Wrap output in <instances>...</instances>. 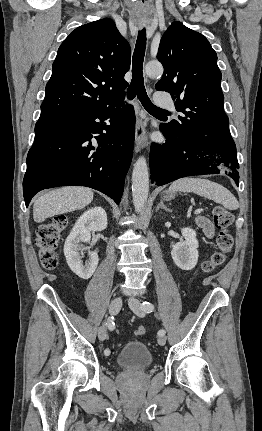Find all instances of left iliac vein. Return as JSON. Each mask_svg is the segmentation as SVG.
Here are the masks:
<instances>
[{"label":"left iliac vein","instance_id":"4c4485c4","mask_svg":"<svg viewBox=\"0 0 262 431\" xmlns=\"http://www.w3.org/2000/svg\"><path fill=\"white\" fill-rule=\"evenodd\" d=\"M129 307L131 310L139 317H143L145 315V312L141 306V303L138 299L134 297H130L128 300ZM158 344L160 346H164L166 344V337L164 335H160L158 337Z\"/></svg>","mask_w":262,"mask_h":431}]
</instances>
